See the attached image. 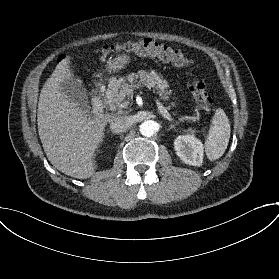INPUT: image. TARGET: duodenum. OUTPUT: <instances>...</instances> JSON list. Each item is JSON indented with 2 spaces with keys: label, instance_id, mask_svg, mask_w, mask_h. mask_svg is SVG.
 <instances>
[{
  "label": "duodenum",
  "instance_id": "410a0bca",
  "mask_svg": "<svg viewBox=\"0 0 279 279\" xmlns=\"http://www.w3.org/2000/svg\"><path fill=\"white\" fill-rule=\"evenodd\" d=\"M91 110L94 115H101L103 112V102L100 95L96 92L91 99Z\"/></svg>",
  "mask_w": 279,
  "mask_h": 279
}]
</instances>
